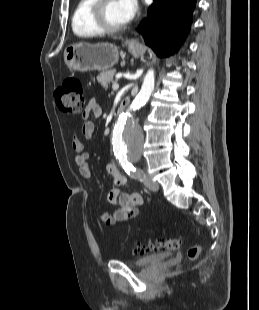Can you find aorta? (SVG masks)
Returning <instances> with one entry per match:
<instances>
[{
  "label": "aorta",
  "mask_w": 259,
  "mask_h": 310,
  "mask_svg": "<svg viewBox=\"0 0 259 310\" xmlns=\"http://www.w3.org/2000/svg\"><path fill=\"white\" fill-rule=\"evenodd\" d=\"M154 71L149 70L139 94L120 114L113 131V150L116 156L128 160H137L142 154L144 135L141 127L135 122L134 114L148 101L154 89Z\"/></svg>",
  "instance_id": "obj_1"
}]
</instances>
